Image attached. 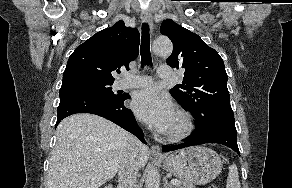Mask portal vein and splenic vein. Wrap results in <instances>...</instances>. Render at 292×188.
Instances as JSON below:
<instances>
[{
    "label": "portal vein and splenic vein",
    "instance_id": "portal-vein-and-splenic-vein-1",
    "mask_svg": "<svg viewBox=\"0 0 292 188\" xmlns=\"http://www.w3.org/2000/svg\"><path fill=\"white\" fill-rule=\"evenodd\" d=\"M171 184H173V185H180L181 182L178 181L177 179H172V180H171Z\"/></svg>",
    "mask_w": 292,
    "mask_h": 188
}]
</instances>
